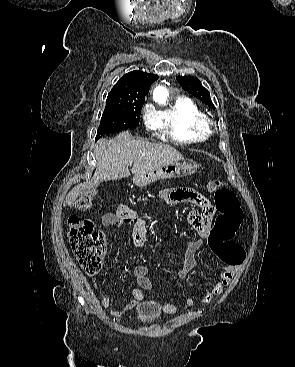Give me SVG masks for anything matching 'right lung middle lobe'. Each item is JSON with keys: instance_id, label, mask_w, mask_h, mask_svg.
<instances>
[{"instance_id": "obj_1", "label": "right lung middle lobe", "mask_w": 295, "mask_h": 367, "mask_svg": "<svg viewBox=\"0 0 295 367\" xmlns=\"http://www.w3.org/2000/svg\"><path fill=\"white\" fill-rule=\"evenodd\" d=\"M143 104V101L106 102L96 139L105 134L135 129L139 125Z\"/></svg>"}]
</instances>
